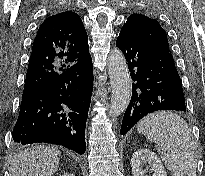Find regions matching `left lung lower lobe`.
Masks as SVG:
<instances>
[{
	"mask_svg": "<svg viewBox=\"0 0 205 176\" xmlns=\"http://www.w3.org/2000/svg\"><path fill=\"white\" fill-rule=\"evenodd\" d=\"M116 46L123 52L134 82L121 134L149 113L186 112L182 83L170 52L139 40L126 29H121Z\"/></svg>",
	"mask_w": 205,
	"mask_h": 176,
	"instance_id": "0a47b994",
	"label": "left lung lower lobe"
}]
</instances>
